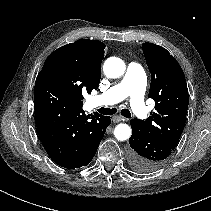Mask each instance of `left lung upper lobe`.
<instances>
[{
    "label": "left lung upper lobe",
    "instance_id": "5c2ea615",
    "mask_svg": "<svg viewBox=\"0 0 211 211\" xmlns=\"http://www.w3.org/2000/svg\"><path fill=\"white\" fill-rule=\"evenodd\" d=\"M142 49L151 72L148 97L155 101V112L145 121H137L151 136L174 150L185 126L189 103L185 76L165 48L143 43Z\"/></svg>",
    "mask_w": 211,
    "mask_h": 211
}]
</instances>
